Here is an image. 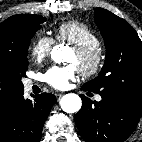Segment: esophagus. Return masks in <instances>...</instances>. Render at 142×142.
I'll list each match as a JSON object with an SVG mask.
<instances>
[{
	"instance_id": "34e87169",
	"label": "esophagus",
	"mask_w": 142,
	"mask_h": 142,
	"mask_svg": "<svg viewBox=\"0 0 142 142\" xmlns=\"http://www.w3.org/2000/svg\"><path fill=\"white\" fill-rule=\"evenodd\" d=\"M62 96H63V94H61V93L56 94L57 100H60Z\"/></svg>"
}]
</instances>
